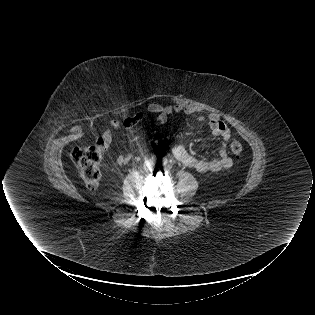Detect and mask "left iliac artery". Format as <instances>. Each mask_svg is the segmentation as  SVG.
Segmentation results:
<instances>
[{
  "label": "left iliac artery",
  "mask_w": 315,
  "mask_h": 315,
  "mask_svg": "<svg viewBox=\"0 0 315 315\" xmlns=\"http://www.w3.org/2000/svg\"><path fill=\"white\" fill-rule=\"evenodd\" d=\"M161 163H162L163 165H165V164L167 163V160H166V159H162Z\"/></svg>",
  "instance_id": "1"
}]
</instances>
